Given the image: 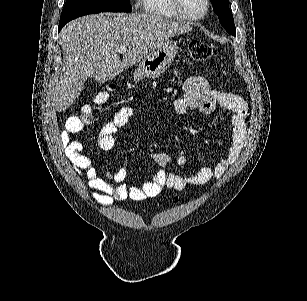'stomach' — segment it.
Instances as JSON below:
<instances>
[{
    "instance_id": "obj_1",
    "label": "stomach",
    "mask_w": 307,
    "mask_h": 301,
    "mask_svg": "<svg viewBox=\"0 0 307 301\" xmlns=\"http://www.w3.org/2000/svg\"><path fill=\"white\" fill-rule=\"evenodd\" d=\"M178 44L175 40H165L159 44L153 52L142 58L133 72V80L139 82L142 78H157L173 62L177 52Z\"/></svg>"
}]
</instances>
